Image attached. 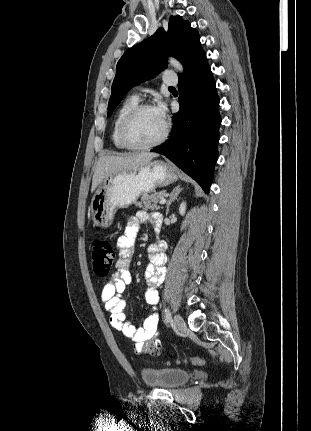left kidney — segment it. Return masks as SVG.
Listing matches in <instances>:
<instances>
[{
  "instance_id": "5707ae66",
  "label": "left kidney",
  "mask_w": 311,
  "mask_h": 431,
  "mask_svg": "<svg viewBox=\"0 0 311 431\" xmlns=\"http://www.w3.org/2000/svg\"><path fill=\"white\" fill-rule=\"evenodd\" d=\"M186 202H181L180 204V208H179V214H181V216H184L185 212H186Z\"/></svg>"
}]
</instances>
